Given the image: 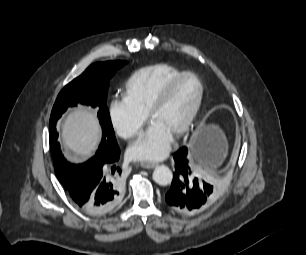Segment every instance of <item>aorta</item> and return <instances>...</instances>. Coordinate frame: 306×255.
<instances>
[{
	"mask_svg": "<svg viewBox=\"0 0 306 255\" xmlns=\"http://www.w3.org/2000/svg\"><path fill=\"white\" fill-rule=\"evenodd\" d=\"M173 179L172 171L165 165H160L153 171V180L161 186L171 184Z\"/></svg>",
	"mask_w": 306,
	"mask_h": 255,
	"instance_id": "obj_1",
	"label": "aorta"
}]
</instances>
